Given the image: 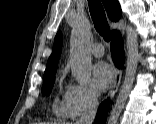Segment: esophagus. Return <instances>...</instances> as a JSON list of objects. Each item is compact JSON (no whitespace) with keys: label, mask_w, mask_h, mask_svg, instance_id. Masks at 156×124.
Listing matches in <instances>:
<instances>
[{"label":"esophagus","mask_w":156,"mask_h":124,"mask_svg":"<svg viewBox=\"0 0 156 124\" xmlns=\"http://www.w3.org/2000/svg\"><path fill=\"white\" fill-rule=\"evenodd\" d=\"M121 78H122V70L121 69H116L115 71V80H114V84L110 93V99L114 97V95L116 94V92L118 91V88L120 86V82H121Z\"/></svg>","instance_id":"obj_1"}]
</instances>
